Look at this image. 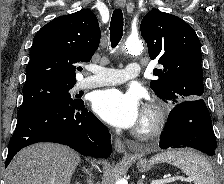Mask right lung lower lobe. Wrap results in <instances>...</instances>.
<instances>
[{"instance_id": "right-lung-lower-lobe-1", "label": "right lung lower lobe", "mask_w": 224, "mask_h": 184, "mask_svg": "<svg viewBox=\"0 0 224 184\" xmlns=\"http://www.w3.org/2000/svg\"><path fill=\"white\" fill-rule=\"evenodd\" d=\"M111 134L81 101L76 105H41L18 116L9 141L5 167L22 148L38 142L68 145L80 154L97 158L111 155Z\"/></svg>"}]
</instances>
